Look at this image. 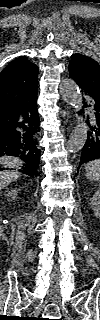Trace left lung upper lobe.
I'll return each instance as SVG.
<instances>
[{
    "instance_id": "1",
    "label": "left lung upper lobe",
    "mask_w": 100,
    "mask_h": 320,
    "mask_svg": "<svg viewBox=\"0 0 100 320\" xmlns=\"http://www.w3.org/2000/svg\"><path fill=\"white\" fill-rule=\"evenodd\" d=\"M68 70L79 86L100 98V66L94 59L79 53L73 54Z\"/></svg>"
}]
</instances>
